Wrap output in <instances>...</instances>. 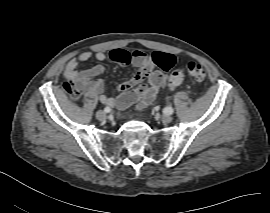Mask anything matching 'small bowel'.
<instances>
[{
	"instance_id": "c3829d8e",
	"label": "small bowel",
	"mask_w": 270,
	"mask_h": 213,
	"mask_svg": "<svg viewBox=\"0 0 270 213\" xmlns=\"http://www.w3.org/2000/svg\"><path fill=\"white\" fill-rule=\"evenodd\" d=\"M109 54L110 53L99 50L95 52L94 58L97 61L104 62L111 58ZM167 55L172 57L171 67H173L176 59L171 54ZM91 57L92 54L85 51L79 54L78 57L70 59L66 65L65 75L69 80L68 87L79 97L88 93H101L104 88L103 81L98 78L103 72L102 66L96 65L88 70H80V64L87 62ZM130 64L142 69L148 68L149 74L144 78L137 74L134 78L120 85L119 88L123 92L136 88L129 100H116L111 96L102 94L100 99L105 105L110 107H125L131 103L137 102V109L142 110L156 97L160 87L164 83L165 75L161 72L151 71L153 62L144 53L132 56ZM162 68L166 69L164 67Z\"/></svg>"
}]
</instances>
